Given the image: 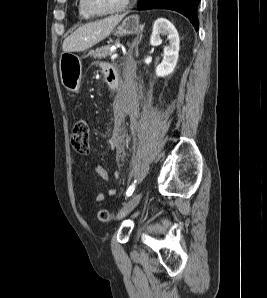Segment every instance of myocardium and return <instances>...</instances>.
Segmentation results:
<instances>
[{"mask_svg": "<svg viewBox=\"0 0 267 298\" xmlns=\"http://www.w3.org/2000/svg\"><path fill=\"white\" fill-rule=\"evenodd\" d=\"M81 1H82V7L85 10V12L93 17H106V16L121 14L128 9V7L130 6V4L132 2V0H125L122 3V5L116 10L109 11V12H98L90 7L88 0H81Z\"/></svg>", "mask_w": 267, "mask_h": 298, "instance_id": "obj_1", "label": "myocardium"}]
</instances>
